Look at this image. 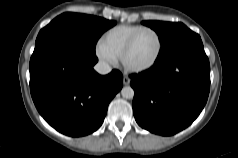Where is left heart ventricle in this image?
I'll return each mask as SVG.
<instances>
[{
  "label": "left heart ventricle",
  "mask_w": 238,
  "mask_h": 158,
  "mask_svg": "<svg viewBox=\"0 0 238 158\" xmlns=\"http://www.w3.org/2000/svg\"><path fill=\"white\" fill-rule=\"evenodd\" d=\"M158 50L156 36L149 31L143 32L137 38L131 52L127 57V63L133 67H140L150 63Z\"/></svg>",
  "instance_id": "1"
}]
</instances>
